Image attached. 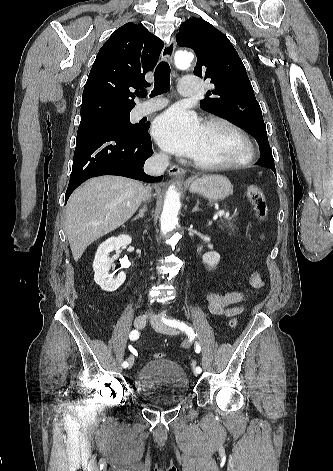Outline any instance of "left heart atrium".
<instances>
[{
	"instance_id": "left-heart-atrium-1",
	"label": "left heart atrium",
	"mask_w": 333,
	"mask_h": 471,
	"mask_svg": "<svg viewBox=\"0 0 333 471\" xmlns=\"http://www.w3.org/2000/svg\"><path fill=\"white\" fill-rule=\"evenodd\" d=\"M202 125L198 117L182 108H172L156 118L153 136L168 152L194 157L201 137Z\"/></svg>"
}]
</instances>
